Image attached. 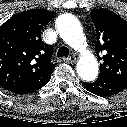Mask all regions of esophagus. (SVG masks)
Returning <instances> with one entry per match:
<instances>
[{
	"instance_id": "esophagus-1",
	"label": "esophagus",
	"mask_w": 127,
	"mask_h": 127,
	"mask_svg": "<svg viewBox=\"0 0 127 127\" xmlns=\"http://www.w3.org/2000/svg\"><path fill=\"white\" fill-rule=\"evenodd\" d=\"M63 60L68 63H74V62H76V57L74 55H72L68 58H63Z\"/></svg>"
}]
</instances>
